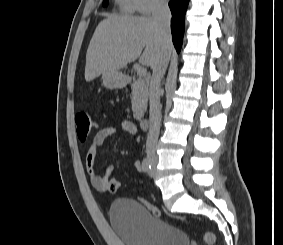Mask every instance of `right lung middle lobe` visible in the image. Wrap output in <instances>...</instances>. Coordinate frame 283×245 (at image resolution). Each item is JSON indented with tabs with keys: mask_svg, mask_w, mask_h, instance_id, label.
I'll use <instances>...</instances> for the list:
<instances>
[{
	"mask_svg": "<svg viewBox=\"0 0 283 245\" xmlns=\"http://www.w3.org/2000/svg\"><path fill=\"white\" fill-rule=\"evenodd\" d=\"M107 4H108V0H103V5L107 6Z\"/></svg>",
	"mask_w": 283,
	"mask_h": 245,
	"instance_id": "obj_1",
	"label": "right lung middle lobe"
}]
</instances>
